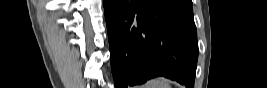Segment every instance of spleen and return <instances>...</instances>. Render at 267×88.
I'll list each match as a JSON object with an SVG mask.
<instances>
[{
	"label": "spleen",
	"mask_w": 267,
	"mask_h": 88,
	"mask_svg": "<svg viewBox=\"0 0 267 88\" xmlns=\"http://www.w3.org/2000/svg\"><path fill=\"white\" fill-rule=\"evenodd\" d=\"M143 88H171L168 81L163 77L149 80L143 85Z\"/></svg>",
	"instance_id": "spleen-1"
}]
</instances>
